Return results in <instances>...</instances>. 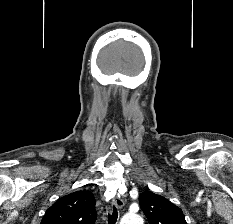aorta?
Returning a JSON list of instances; mask_svg holds the SVG:
<instances>
[{"label": "aorta", "mask_w": 233, "mask_h": 224, "mask_svg": "<svg viewBox=\"0 0 233 224\" xmlns=\"http://www.w3.org/2000/svg\"><path fill=\"white\" fill-rule=\"evenodd\" d=\"M142 218L134 213H129L123 216L120 221V224H142Z\"/></svg>", "instance_id": "762f6f07"}]
</instances>
